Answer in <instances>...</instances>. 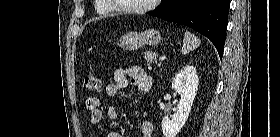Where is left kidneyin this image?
Wrapping results in <instances>:
<instances>
[{
    "label": "left kidney",
    "mask_w": 280,
    "mask_h": 137,
    "mask_svg": "<svg viewBox=\"0 0 280 137\" xmlns=\"http://www.w3.org/2000/svg\"><path fill=\"white\" fill-rule=\"evenodd\" d=\"M199 79L196 68L184 66L174 77L172 88L180 95L178 110L171 118L162 119V131L165 137H176L187 121L193 101L198 91Z\"/></svg>",
    "instance_id": "1"
}]
</instances>
